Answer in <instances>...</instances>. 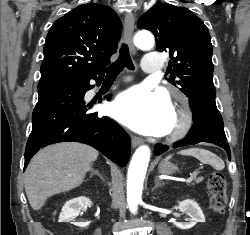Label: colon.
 I'll list each match as a JSON object with an SVG mask.
<instances>
[{
	"instance_id": "obj_1",
	"label": "colon",
	"mask_w": 250,
	"mask_h": 235,
	"mask_svg": "<svg viewBox=\"0 0 250 235\" xmlns=\"http://www.w3.org/2000/svg\"><path fill=\"white\" fill-rule=\"evenodd\" d=\"M207 189L212 210L222 213L228 199L227 182L224 175L218 171L211 173L207 180Z\"/></svg>"
}]
</instances>
